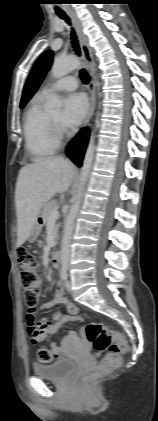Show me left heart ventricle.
<instances>
[{
    "label": "left heart ventricle",
    "instance_id": "b2bd125f",
    "mask_svg": "<svg viewBox=\"0 0 158 421\" xmlns=\"http://www.w3.org/2000/svg\"><path fill=\"white\" fill-rule=\"evenodd\" d=\"M51 118L54 120V121H56V122H60V119H61V115H60V113H56V114H53V115H51Z\"/></svg>",
    "mask_w": 158,
    "mask_h": 421
}]
</instances>
